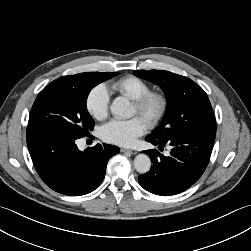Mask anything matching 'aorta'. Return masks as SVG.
I'll use <instances>...</instances> for the list:
<instances>
[{"label":"aorta","instance_id":"obj_1","mask_svg":"<svg viewBox=\"0 0 251 251\" xmlns=\"http://www.w3.org/2000/svg\"><path fill=\"white\" fill-rule=\"evenodd\" d=\"M110 111L116 118H130L133 116V108L125 97H117L113 100ZM151 160L146 154H138L134 159V168L138 173L144 174L150 170Z\"/></svg>","mask_w":251,"mask_h":251}]
</instances>
